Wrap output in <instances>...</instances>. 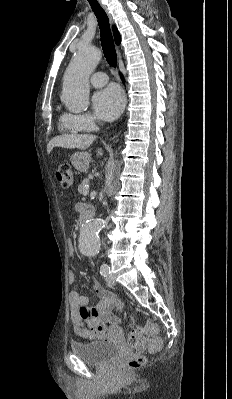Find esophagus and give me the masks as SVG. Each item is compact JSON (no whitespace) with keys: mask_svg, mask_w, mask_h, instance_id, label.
<instances>
[{"mask_svg":"<svg viewBox=\"0 0 232 399\" xmlns=\"http://www.w3.org/2000/svg\"><path fill=\"white\" fill-rule=\"evenodd\" d=\"M98 2H99V4L102 6V8L104 9V11L106 12V14H107V16H108V18H109L110 23L113 24V20H112L111 13L109 12V10H108V8L106 7V5L102 3V0H98ZM117 53H118L119 60H121V53H120L118 47H117Z\"/></svg>","mask_w":232,"mask_h":399,"instance_id":"esophagus-1","label":"esophagus"}]
</instances>
